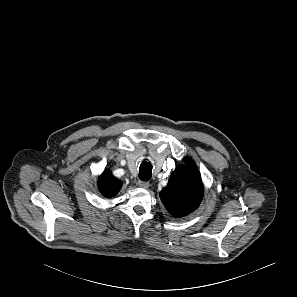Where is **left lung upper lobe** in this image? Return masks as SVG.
I'll return each mask as SVG.
<instances>
[{"instance_id":"left-lung-upper-lobe-1","label":"left lung upper lobe","mask_w":297,"mask_h":297,"mask_svg":"<svg viewBox=\"0 0 297 297\" xmlns=\"http://www.w3.org/2000/svg\"><path fill=\"white\" fill-rule=\"evenodd\" d=\"M160 192V198L169 213L185 216L198 208L203 197V184L194 161L186 157Z\"/></svg>"}]
</instances>
